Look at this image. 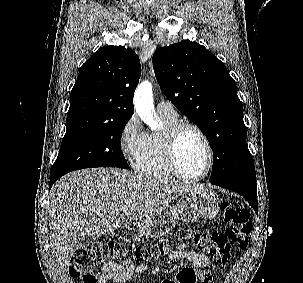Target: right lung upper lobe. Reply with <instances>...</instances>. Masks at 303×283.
<instances>
[{
  "mask_svg": "<svg viewBox=\"0 0 303 283\" xmlns=\"http://www.w3.org/2000/svg\"><path fill=\"white\" fill-rule=\"evenodd\" d=\"M140 75L139 58L133 50L122 46L100 48L79 70L67 119L129 120Z\"/></svg>",
  "mask_w": 303,
  "mask_h": 283,
  "instance_id": "cb5924a9",
  "label": "right lung upper lobe"
}]
</instances>
